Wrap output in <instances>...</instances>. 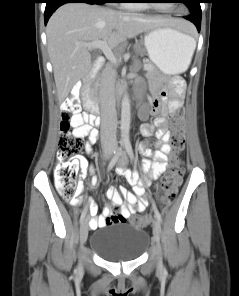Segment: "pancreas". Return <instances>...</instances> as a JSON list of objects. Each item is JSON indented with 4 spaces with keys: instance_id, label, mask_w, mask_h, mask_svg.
<instances>
[{
    "instance_id": "obj_1",
    "label": "pancreas",
    "mask_w": 239,
    "mask_h": 296,
    "mask_svg": "<svg viewBox=\"0 0 239 296\" xmlns=\"http://www.w3.org/2000/svg\"><path fill=\"white\" fill-rule=\"evenodd\" d=\"M148 66H149V69L147 72L148 77H154V76L159 75V71L157 70V68L153 64L149 63Z\"/></svg>"
}]
</instances>
